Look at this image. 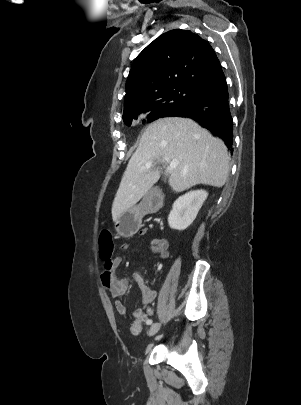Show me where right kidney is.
Instances as JSON below:
<instances>
[{"instance_id": "1", "label": "right kidney", "mask_w": 301, "mask_h": 405, "mask_svg": "<svg viewBox=\"0 0 301 405\" xmlns=\"http://www.w3.org/2000/svg\"><path fill=\"white\" fill-rule=\"evenodd\" d=\"M207 197L205 190H194L180 196L168 216L170 228L181 231L190 226Z\"/></svg>"}]
</instances>
